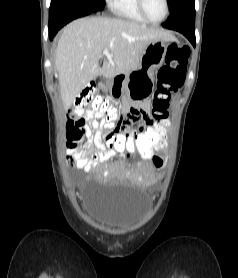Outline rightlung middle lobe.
I'll use <instances>...</instances> for the list:
<instances>
[{
  "mask_svg": "<svg viewBox=\"0 0 238 278\" xmlns=\"http://www.w3.org/2000/svg\"><path fill=\"white\" fill-rule=\"evenodd\" d=\"M86 4H89L90 6L97 8V9H103L104 8V0H79Z\"/></svg>",
  "mask_w": 238,
  "mask_h": 278,
  "instance_id": "dd1d6c3e",
  "label": "right lung middle lobe"
}]
</instances>
